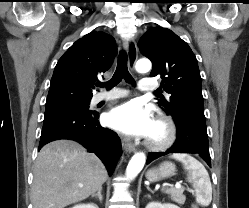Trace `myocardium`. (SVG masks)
I'll return each instance as SVG.
<instances>
[{"mask_svg":"<svg viewBox=\"0 0 249 208\" xmlns=\"http://www.w3.org/2000/svg\"><path fill=\"white\" fill-rule=\"evenodd\" d=\"M155 124L162 129L160 138H150L148 146L151 149H165L173 144L176 139V127L167 116H159Z\"/></svg>","mask_w":249,"mask_h":208,"instance_id":"f54148a6","label":"myocardium"}]
</instances>
